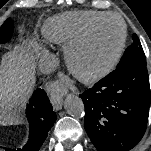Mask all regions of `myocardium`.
<instances>
[{
  "mask_svg": "<svg viewBox=\"0 0 151 151\" xmlns=\"http://www.w3.org/2000/svg\"><path fill=\"white\" fill-rule=\"evenodd\" d=\"M108 19H115L121 25V38L117 50L113 57L102 67L92 70L86 71L84 70L77 61L78 53L81 49L86 45L90 37L96 28L104 21ZM127 24L125 20L117 13H107L94 22H92L89 27L73 42L69 43L65 49L66 62L70 72L80 81L84 83H92L96 82L105 76H107L118 64L120 61L127 41Z\"/></svg>",
  "mask_w": 151,
  "mask_h": 151,
  "instance_id": "myocardium-1",
  "label": "myocardium"
}]
</instances>
